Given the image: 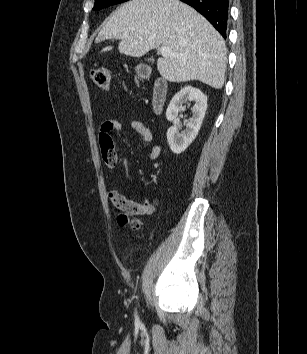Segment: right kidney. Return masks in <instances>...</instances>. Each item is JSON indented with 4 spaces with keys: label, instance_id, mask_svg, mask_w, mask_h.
<instances>
[{
    "label": "right kidney",
    "instance_id": "right-kidney-1",
    "mask_svg": "<svg viewBox=\"0 0 307 354\" xmlns=\"http://www.w3.org/2000/svg\"><path fill=\"white\" fill-rule=\"evenodd\" d=\"M187 101L194 103L191 108L192 117L189 119L186 129L179 133L175 121L178 113L185 110L183 104ZM206 109L207 97L200 89L185 86L174 95L166 111L167 120L175 123L174 126H171L167 131V141L173 153L180 154L184 152L196 138L202 125Z\"/></svg>",
    "mask_w": 307,
    "mask_h": 354
}]
</instances>
